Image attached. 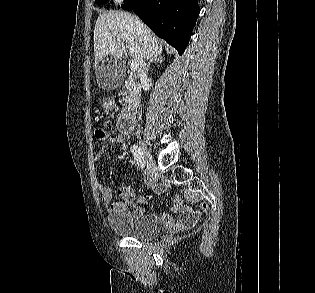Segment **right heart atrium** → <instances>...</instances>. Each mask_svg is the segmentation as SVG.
Segmentation results:
<instances>
[{
	"instance_id": "d8ad5b80",
	"label": "right heart atrium",
	"mask_w": 315,
	"mask_h": 293,
	"mask_svg": "<svg viewBox=\"0 0 315 293\" xmlns=\"http://www.w3.org/2000/svg\"><path fill=\"white\" fill-rule=\"evenodd\" d=\"M117 3H122L124 0H115Z\"/></svg>"
}]
</instances>
